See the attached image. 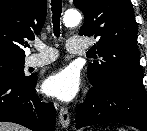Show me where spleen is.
Masks as SVG:
<instances>
[{
    "label": "spleen",
    "mask_w": 147,
    "mask_h": 131,
    "mask_svg": "<svg viewBox=\"0 0 147 131\" xmlns=\"http://www.w3.org/2000/svg\"><path fill=\"white\" fill-rule=\"evenodd\" d=\"M119 131H124V129H119Z\"/></svg>",
    "instance_id": "obj_1"
}]
</instances>
